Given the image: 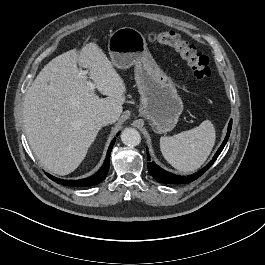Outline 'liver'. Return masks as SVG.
Instances as JSON below:
<instances>
[{"label":"liver","instance_id":"obj_1","mask_svg":"<svg viewBox=\"0 0 265 265\" xmlns=\"http://www.w3.org/2000/svg\"><path fill=\"white\" fill-rule=\"evenodd\" d=\"M83 67L100 98L79 76ZM126 86L103 50L94 42L52 59L37 75L24 99V127L29 145L42 166L57 175L73 172L84 160L101 125V113L122 111Z\"/></svg>","mask_w":265,"mask_h":265}]
</instances>
